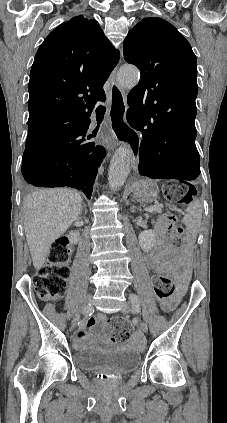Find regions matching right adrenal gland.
I'll use <instances>...</instances> for the list:
<instances>
[{"mask_svg": "<svg viewBox=\"0 0 227 423\" xmlns=\"http://www.w3.org/2000/svg\"><path fill=\"white\" fill-rule=\"evenodd\" d=\"M83 208H84V213H87L86 204H83Z\"/></svg>", "mask_w": 227, "mask_h": 423, "instance_id": "2a0ac1e0", "label": "right adrenal gland"}]
</instances>
